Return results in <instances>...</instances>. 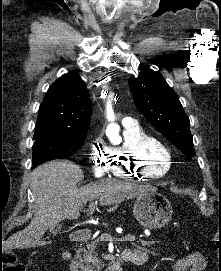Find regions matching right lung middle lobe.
<instances>
[{"mask_svg": "<svg viewBox=\"0 0 221 271\" xmlns=\"http://www.w3.org/2000/svg\"><path fill=\"white\" fill-rule=\"evenodd\" d=\"M86 136L87 133L77 135L35 133L32 169L46 161L69 157L84 144Z\"/></svg>", "mask_w": 221, "mask_h": 271, "instance_id": "obj_1", "label": "right lung middle lobe"}]
</instances>
